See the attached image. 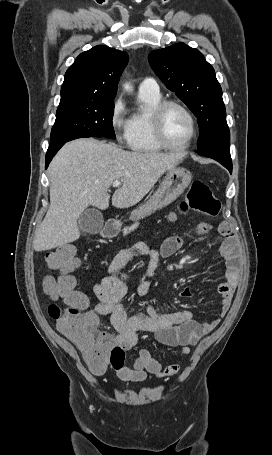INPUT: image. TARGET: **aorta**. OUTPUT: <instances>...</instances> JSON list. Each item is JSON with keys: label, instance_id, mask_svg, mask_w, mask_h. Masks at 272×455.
Listing matches in <instances>:
<instances>
[{"label": "aorta", "instance_id": "obj_1", "mask_svg": "<svg viewBox=\"0 0 272 455\" xmlns=\"http://www.w3.org/2000/svg\"><path fill=\"white\" fill-rule=\"evenodd\" d=\"M124 89L127 91H130V90H132V87L129 84H125Z\"/></svg>", "mask_w": 272, "mask_h": 455}]
</instances>
